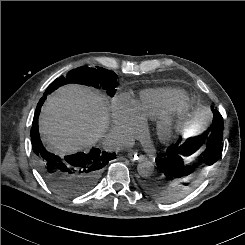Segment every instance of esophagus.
Wrapping results in <instances>:
<instances>
[{
    "label": "esophagus",
    "mask_w": 245,
    "mask_h": 245,
    "mask_svg": "<svg viewBox=\"0 0 245 245\" xmlns=\"http://www.w3.org/2000/svg\"><path fill=\"white\" fill-rule=\"evenodd\" d=\"M128 158L131 161H137V162H142V161H144L146 159V157L144 155H139L136 152H129L128 153Z\"/></svg>",
    "instance_id": "1"
}]
</instances>
